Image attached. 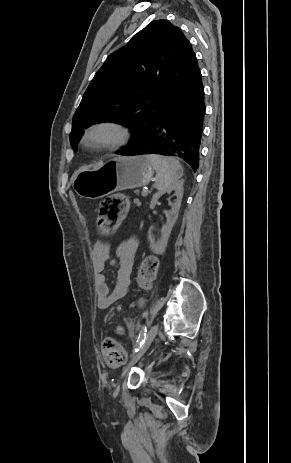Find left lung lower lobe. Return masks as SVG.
<instances>
[{
	"label": "left lung lower lobe",
	"instance_id": "0a47b994",
	"mask_svg": "<svg viewBox=\"0 0 291 463\" xmlns=\"http://www.w3.org/2000/svg\"><path fill=\"white\" fill-rule=\"evenodd\" d=\"M205 115L200 70L177 88L138 142L120 155L158 154L183 159L194 171L199 166Z\"/></svg>",
	"mask_w": 291,
	"mask_h": 463
}]
</instances>
